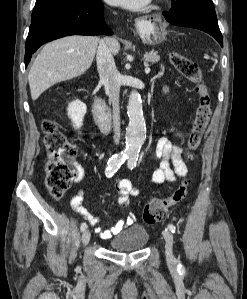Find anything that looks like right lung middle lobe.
<instances>
[{
	"label": "right lung middle lobe",
	"instance_id": "right-lung-middle-lobe-1",
	"mask_svg": "<svg viewBox=\"0 0 247 299\" xmlns=\"http://www.w3.org/2000/svg\"><path fill=\"white\" fill-rule=\"evenodd\" d=\"M88 0H36L35 7L33 9L31 21L36 20L42 15L67 4H75L85 2Z\"/></svg>",
	"mask_w": 247,
	"mask_h": 299
}]
</instances>
